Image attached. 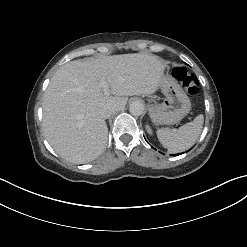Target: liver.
<instances>
[{
    "label": "liver",
    "instance_id": "1",
    "mask_svg": "<svg viewBox=\"0 0 247 247\" xmlns=\"http://www.w3.org/2000/svg\"><path fill=\"white\" fill-rule=\"evenodd\" d=\"M165 65L144 53L74 60L53 75L43 97V130L57 154L87 163L105 150L108 128L101 110L123 109L129 96L153 94ZM104 81L114 96H105Z\"/></svg>",
    "mask_w": 247,
    "mask_h": 247
}]
</instances>
